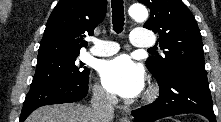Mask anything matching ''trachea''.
<instances>
[{
    "label": "trachea",
    "mask_w": 221,
    "mask_h": 122,
    "mask_svg": "<svg viewBox=\"0 0 221 122\" xmlns=\"http://www.w3.org/2000/svg\"><path fill=\"white\" fill-rule=\"evenodd\" d=\"M112 7V23L113 30L116 33H121L124 27V7L123 0H111ZM151 51V49H149Z\"/></svg>",
    "instance_id": "obj_1"
}]
</instances>
